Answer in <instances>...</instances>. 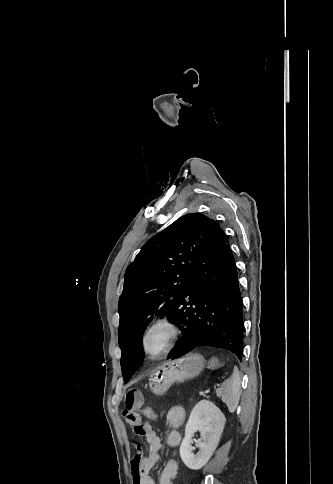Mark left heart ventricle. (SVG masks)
I'll list each match as a JSON object with an SVG mask.
<instances>
[{
  "label": "left heart ventricle",
  "mask_w": 333,
  "mask_h": 484,
  "mask_svg": "<svg viewBox=\"0 0 333 484\" xmlns=\"http://www.w3.org/2000/svg\"><path fill=\"white\" fill-rule=\"evenodd\" d=\"M163 338V331H155L149 338L148 346L150 350H155L160 345Z\"/></svg>",
  "instance_id": "left-heart-ventricle-1"
}]
</instances>
